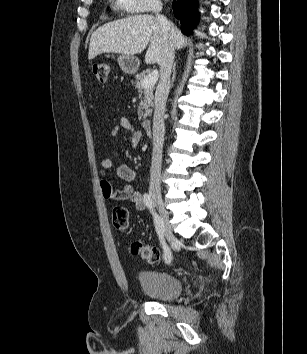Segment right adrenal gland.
Segmentation results:
<instances>
[{
	"mask_svg": "<svg viewBox=\"0 0 307 354\" xmlns=\"http://www.w3.org/2000/svg\"><path fill=\"white\" fill-rule=\"evenodd\" d=\"M175 75H176V63H174V65H173L172 85H173V82H174V80H175Z\"/></svg>",
	"mask_w": 307,
	"mask_h": 354,
	"instance_id": "1",
	"label": "right adrenal gland"
}]
</instances>
